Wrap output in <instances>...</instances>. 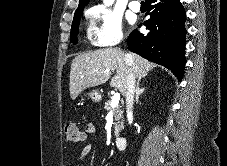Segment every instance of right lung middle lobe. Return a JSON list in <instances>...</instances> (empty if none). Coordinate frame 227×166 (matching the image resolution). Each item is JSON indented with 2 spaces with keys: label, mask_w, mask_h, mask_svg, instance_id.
<instances>
[{
  "label": "right lung middle lobe",
  "mask_w": 227,
  "mask_h": 166,
  "mask_svg": "<svg viewBox=\"0 0 227 166\" xmlns=\"http://www.w3.org/2000/svg\"><path fill=\"white\" fill-rule=\"evenodd\" d=\"M84 8H79L76 10L72 27H71V39L70 42L73 44L77 43V33H78V26L80 24V17L83 13Z\"/></svg>",
  "instance_id": "obj_1"
}]
</instances>
